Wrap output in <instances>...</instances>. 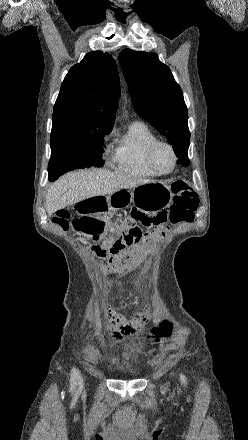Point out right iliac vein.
<instances>
[{
    "label": "right iliac vein",
    "mask_w": 248,
    "mask_h": 440,
    "mask_svg": "<svg viewBox=\"0 0 248 440\" xmlns=\"http://www.w3.org/2000/svg\"><path fill=\"white\" fill-rule=\"evenodd\" d=\"M82 389H83V383L81 382L79 385V390H82Z\"/></svg>",
    "instance_id": "obj_1"
}]
</instances>
